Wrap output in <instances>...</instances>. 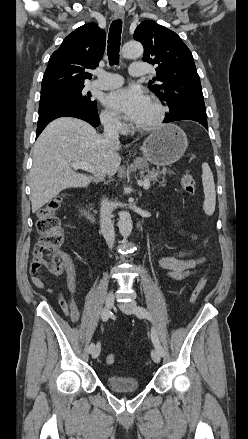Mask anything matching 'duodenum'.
Masks as SVG:
<instances>
[{
    "mask_svg": "<svg viewBox=\"0 0 248 439\" xmlns=\"http://www.w3.org/2000/svg\"><path fill=\"white\" fill-rule=\"evenodd\" d=\"M81 214L87 223L89 224L95 223V217L93 213H91L84 205H82L81 207Z\"/></svg>",
    "mask_w": 248,
    "mask_h": 439,
    "instance_id": "duodenum-1",
    "label": "duodenum"
}]
</instances>
